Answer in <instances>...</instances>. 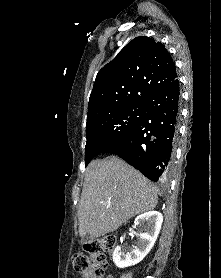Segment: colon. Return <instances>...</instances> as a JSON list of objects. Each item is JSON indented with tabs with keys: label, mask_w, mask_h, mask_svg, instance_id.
I'll return each mask as SVG.
<instances>
[{
	"label": "colon",
	"mask_w": 221,
	"mask_h": 278,
	"mask_svg": "<svg viewBox=\"0 0 221 278\" xmlns=\"http://www.w3.org/2000/svg\"><path fill=\"white\" fill-rule=\"evenodd\" d=\"M116 244L113 236H107L88 243L85 253H77L72 257L75 270L83 278H102L107 267L106 253Z\"/></svg>",
	"instance_id": "1"
}]
</instances>
